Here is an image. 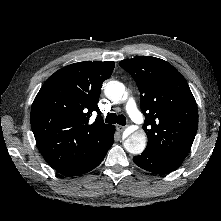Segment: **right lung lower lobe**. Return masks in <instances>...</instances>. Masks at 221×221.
Segmentation results:
<instances>
[{
    "mask_svg": "<svg viewBox=\"0 0 221 221\" xmlns=\"http://www.w3.org/2000/svg\"><path fill=\"white\" fill-rule=\"evenodd\" d=\"M114 133H115V127H113L112 129L108 145L100 153H98L96 156H94L93 158L84 162L81 165H78L67 171L61 172V174H64L67 176H77V175L87 173L91 171L92 169H94L96 166H98L102 162V160L104 159L105 155L107 154L108 150L110 149V147L112 146L114 142V138H113Z\"/></svg>",
    "mask_w": 221,
    "mask_h": 221,
    "instance_id": "obj_1",
    "label": "right lung lower lobe"
}]
</instances>
